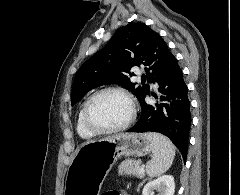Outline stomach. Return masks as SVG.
I'll list each match as a JSON object with an SVG mask.
<instances>
[{"instance_id":"stomach-1","label":"stomach","mask_w":240,"mask_h":195,"mask_svg":"<svg viewBox=\"0 0 240 195\" xmlns=\"http://www.w3.org/2000/svg\"><path fill=\"white\" fill-rule=\"evenodd\" d=\"M151 151L145 133H116L84 141L68 167L65 195H99L102 183L118 157H142ZM132 155V157H130Z\"/></svg>"}]
</instances>
